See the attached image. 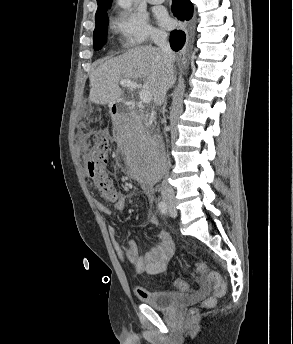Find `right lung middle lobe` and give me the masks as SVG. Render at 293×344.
Wrapping results in <instances>:
<instances>
[{"label": "right lung middle lobe", "mask_w": 293, "mask_h": 344, "mask_svg": "<svg viewBox=\"0 0 293 344\" xmlns=\"http://www.w3.org/2000/svg\"><path fill=\"white\" fill-rule=\"evenodd\" d=\"M110 5L96 12V27L93 33V45L95 50L101 49L106 43L109 18L107 9Z\"/></svg>", "instance_id": "dd1d6c3e"}]
</instances>
